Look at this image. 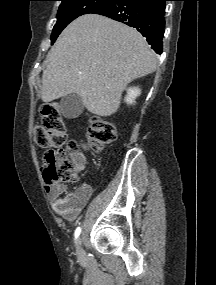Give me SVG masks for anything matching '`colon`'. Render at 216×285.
Here are the masks:
<instances>
[{
  "label": "colon",
  "mask_w": 216,
  "mask_h": 285,
  "mask_svg": "<svg viewBox=\"0 0 216 285\" xmlns=\"http://www.w3.org/2000/svg\"><path fill=\"white\" fill-rule=\"evenodd\" d=\"M42 121L34 130L36 143L50 148L45 154L44 178L47 184L77 179L75 150L77 144L67 140L66 128L56 103L45 104L41 109ZM88 147L99 151L116 138V128L109 121L92 117L87 127Z\"/></svg>",
  "instance_id": "1"
}]
</instances>
